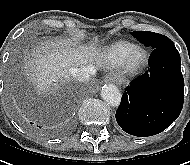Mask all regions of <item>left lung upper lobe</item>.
Instances as JSON below:
<instances>
[{
	"mask_svg": "<svg viewBox=\"0 0 190 165\" xmlns=\"http://www.w3.org/2000/svg\"><path fill=\"white\" fill-rule=\"evenodd\" d=\"M132 35L145 46L152 47L153 49L170 41L168 37L154 32L135 31L132 32Z\"/></svg>",
	"mask_w": 190,
	"mask_h": 165,
	"instance_id": "left-lung-upper-lobe-1",
	"label": "left lung upper lobe"
}]
</instances>
